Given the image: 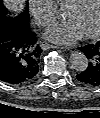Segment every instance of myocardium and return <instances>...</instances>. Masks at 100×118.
Listing matches in <instances>:
<instances>
[{
    "instance_id": "f54148a6",
    "label": "myocardium",
    "mask_w": 100,
    "mask_h": 118,
    "mask_svg": "<svg viewBox=\"0 0 100 118\" xmlns=\"http://www.w3.org/2000/svg\"><path fill=\"white\" fill-rule=\"evenodd\" d=\"M83 2V0H71L67 6H78ZM100 33V9H99V16H98V21H97V25L96 27L87 33H83V37L85 38H93L96 37L97 35H99Z\"/></svg>"
}]
</instances>
